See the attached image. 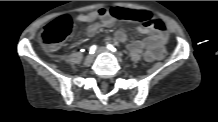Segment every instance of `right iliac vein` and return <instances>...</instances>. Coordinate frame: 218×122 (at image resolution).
Here are the masks:
<instances>
[{
	"instance_id": "obj_1",
	"label": "right iliac vein",
	"mask_w": 218,
	"mask_h": 122,
	"mask_svg": "<svg viewBox=\"0 0 218 122\" xmlns=\"http://www.w3.org/2000/svg\"><path fill=\"white\" fill-rule=\"evenodd\" d=\"M92 61H93V56L89 54L84 60V65L88 66L92 63Z\"/></svg>"
}]
</instances>
